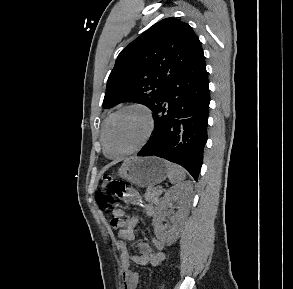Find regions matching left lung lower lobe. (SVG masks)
Instances as JSON below:
<instances>
[{"mask_svg": "<svg viewBox=\"0 0 293 289\" xmlns=\"http://www.w3.org/2000/svg\"><path fill=\"white\" fill-rule=\"evenodd\" d=\"M209 102L202 51L151 109L154 131L137 156H158L177 163L197 181L207 141Z\"/></svg>", "mask_w": 293, "mask_h": 289, "instance_id": "obj_1", "label": "left lung lower lobe"}]
</instances>
